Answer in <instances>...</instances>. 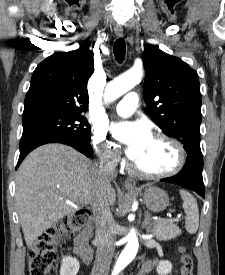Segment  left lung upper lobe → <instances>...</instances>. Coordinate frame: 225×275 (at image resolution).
<instances>
[{
    "label": "left lung upper lobe",
    "instance_id": "5c2ea615",
    "mask_svg": "<svg viewBox=\"0 0 225 275\" xmlns=\"http://www.w3.org/2000/svg\"><path fill=\"white\" fill-rule=\"evenodd\" d=\"M146 113L167 135L184 145L187 154L200 149L201 93L198 74L156 45L143 54Z\"/></svg>",
    "mask_w": 225,
    "mask_h": 275
}]
</instances>
